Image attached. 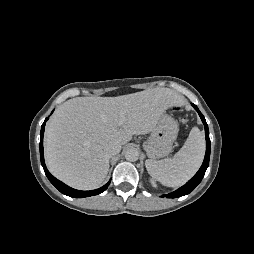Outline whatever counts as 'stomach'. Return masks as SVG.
<instances>
[{"label": "stomach", "mask_w": 254, "mask_h": 254, "mask_svg": "<svg viewBox=\"0 0 254 254\" xmlns=\"http://www.w3.org/2000/svg\"><path fill=\"white\" fill-rule=\"evenodd\" d=\"M178 130L177 122L164 112L143 145L148 157L156 159L167 156L172 151Z\"/></svg>", "instance_id": "1"}]
</instances>
